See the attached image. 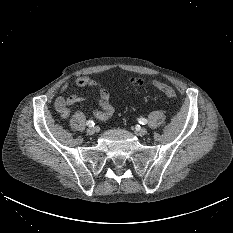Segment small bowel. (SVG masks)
<instances>
[{
	"mask_svg": "<svg viewBox=\"0 0 233 233\" xmlns=\"http://www.w3.org/2000/svg\"><path fill=\"white\" fill-rule=\"evenodd\" d=\"M76 87L83 88L88 87L92 89H96L99 94V100H98V109L94 110L92 112V115L98 119V120H106L110 118L114 112V108L110 102L111 95L110 92L97 84L95 81H93L88 76H80L78 77L74 82ZM68 83H65L62 85L60 92L63 93L67 90ZM84 99L83 97L72 94L69 96L60 95L55 100V110L59 114V116L63 119H66L69 117L71 108L82 102Z\"/></svg>",
	"mask_w": 233,
	"mask_h": 233,
	"instance_id": "obj_1",
	"label": "small bowel"
}]
</instances>
